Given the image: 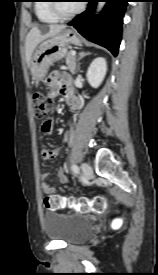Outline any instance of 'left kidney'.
Segmentation results:
<instances>
[{
  "mask_svg": "<svg viewBox=\"0 0 158 275\" xmlns=\"http://www.w3.org/2000/svg\"><path fill=\"white\" fill-rule=\"evenodd\" d=\"M106 72L107 63L105 58L98 57L94 59L90 64L86 74L89 84L94 88H98L103 82Z\"/></svg>",
  "mask_w": 158,
  "mask_h": 275,
  "instance_id": "obj_1",
  "label": "left kidney"
}]
</instances>
